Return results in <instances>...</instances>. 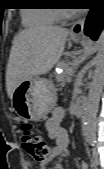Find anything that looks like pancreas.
Here are the masks:
<instances>
[{"label":"pancreas","instance_id":"obj_1","mask_svg":"<svg viewBox=\"0 0 104 169\" xmlns=\"http://www.w3.org/2000/svg\"><path fill=\"white\" fill-rule=\"evenodd\" d=\"M64 72L61 74H56V77L59 81H64L66 80V78L69 77V75L72 74V71L74 70V65L72 63H67L64 66Z\"/></svg>","mask_w":104,"mask_h":169}]
</instances>
